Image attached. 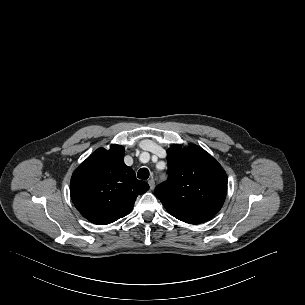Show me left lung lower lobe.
Listing matches in <instances>:
<instances>
[{"label": "left lung lower lobe", "mask_w": 305, "mask_h": 305, "mask_svg": "<svg viewBox=\"0 0 305 305\" xmlns=\"http://www.w3.org/2000/svg\"><path fill=\"white\" fill-rule=\"evenodd\" d=\"M186 223H190V224H199V223H194V222H186Z\"/></svg>", "instance_id": "left-lung-lower-lobe-1"}]
</instances>
